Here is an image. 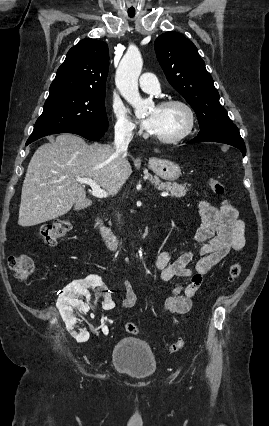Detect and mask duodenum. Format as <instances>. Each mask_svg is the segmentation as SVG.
I'll use <instances>...</instances> for the list:
<instances>
[{
	"label": "duodenum",
	"instance_id": "410a0bca",
	"mask_svg": "<svg viewBox=\"0 0 269 426\" xmlns=\"http://www.w3.org/2000/svg\"><path fill=\"white\" fill-rule=\"evenodd\" d=\"M160 225L161 223L158 221L156 223V228H160ZM94 229L98 232L100 238L107 246L109 251L115 252L118 249L120 243L119 238L112 230L104 226L99 216L94 218Z\"/></svg>",
	"mask_w": 269,
	"mask_h": 426
}]
</instances>
